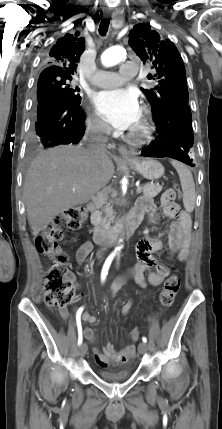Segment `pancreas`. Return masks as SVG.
<instances>
[{
    "label": "pancreas",
    "instance_id": "pancreas-1",
    "mask_svg": "<svg viewBox=\"0 0 222 429\" xmlns=\"http://www.w3.org/2000/svg\"><path fill=\"white\" fill-rule=\"evenodd\" d=\"M142 191L145 197H155L162 191V186L148 183L142 188ZM112 215L113 210L110 204H107L104 208H102L101 212L99 213V226L102 230H108L110 228V224L113 222Z\"/></svg>",
    "mask_w": 222,
    "mask_h": 429
}]
</instances>
